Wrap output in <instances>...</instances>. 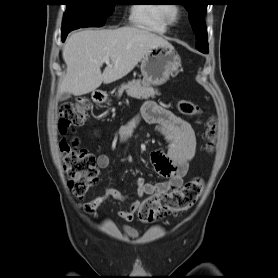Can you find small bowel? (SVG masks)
Returning a JSON list of instances; mask_svg holds the SVG:
<instances>
[{"label": "small bowel", "mask_w": 278, "mask_h": 278, "mask_svg": "<svg viewBox=\"0 0 278 278\" xmlns=\"http://www.w3.org/2000/svg\"><path fill=\"white\" fill-rule=\"evenodd\" d=\"M141 122L153 125L165 138L167 147L165 150L159 149L151 153V163L155 171L165 180L151 183L144 178H138L137 195L140 197L151 196L179 190L183 184V178L187 174L189 162L195 154L196 135L192 126L167 108L148 100L142 106L139 115L121 127V139L127 141ZM109 164L110 158L107 155L98 156L99 168L105 169ZM108 199L125 200L126 196L119 190L108 187L101 195L84 203L83 208L88 213H94ZM141 204L139 200L132 202L127 209L120 210L118 216L126 222H131Z\"/></svg>", "instance_id": "c3829d8e"}]
</instances>
